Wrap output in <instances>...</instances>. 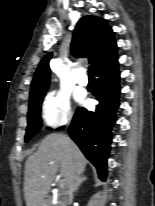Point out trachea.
Returning <instances> with one entry per match:
<instances>
[{"label": "trachea", "instance_id": "1", "mask_svg": "<svg viewBox=\"0 0 155 206\" xmlns=\"http://www.w3.org/2000/svg\"><path fill=\"white\" fill-rule=\"evenodd\" d=\"M89 77H94V67L93 66H89Z\"/></svg>", "mask_w": 155, "mask_h": 206}]
</instances>
